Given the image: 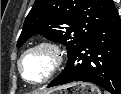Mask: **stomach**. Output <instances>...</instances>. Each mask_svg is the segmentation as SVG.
<instances>
[{
  "label": "stomach",
  "instance_id": "obj_1",
  "mask_svg": "<svg viewBox=\"0 0 121 94\" xmlns=\"http://www.w3.org/2000/svg\"><path fill=\"white\" fill-rule=\"evenodd\" d=\"M46 94H101V92L92 84L77 82L58 87Z\"/></svg>",
  "mask_w": 121,
  "mask_h": 94
}]
</instances>
